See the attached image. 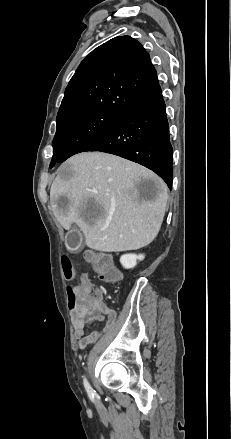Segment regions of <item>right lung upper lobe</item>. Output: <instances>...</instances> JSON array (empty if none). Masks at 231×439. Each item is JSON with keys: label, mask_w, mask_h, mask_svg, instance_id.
<instances>
[{"label": "right lung upper lobe", "mask_w": 231, "mask_h": 439, "mask_svg": "<svg viewBox=\"0 0 231 439\" xmlns=\"http://www.w3.org/2000/svg\"><path fill=\"white\" fill-rule=\"evenodd\" d=\"M161 93L150 56L129 36L113 38L93 50L71 78L57 118L104 110L124 115Z\"/></svg>", "instance_id": "1"}]
</instances>
